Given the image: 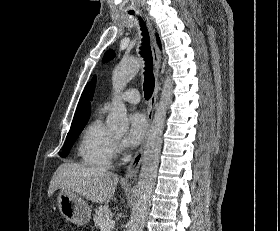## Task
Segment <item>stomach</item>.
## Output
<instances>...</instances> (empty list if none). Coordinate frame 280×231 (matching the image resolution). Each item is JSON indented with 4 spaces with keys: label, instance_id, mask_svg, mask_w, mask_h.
I'll list each match as a JSON object with an SVG mask.
<instances>
[{
    "label": "stomach",
    "instance_id": "stomach-1",
    "mask_svg": "<svg viewBox=\"0 0 280 231\" xmlns=\"http://www.w3.org/2000/svg\"><path fill=\"white\" fill-rule=\"evenodd\" d=\"M58 207L71 223H77V225H85L91 219V209L80 197V195H76L74 191H59L58 197Z\"/></svg>",
    "mask_w": 280,
    "mask_h": 231
}]
</instances>
